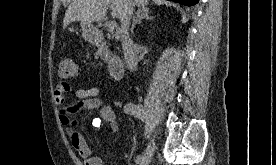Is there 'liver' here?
<instances>
[{
	"label": "liver",
	"mask_w": 276,
	"mask_h": 165,
	"mask_svg": "<svg viewBox=\"0 0 276 165\" xmlns=\"http://www.w3.org/2000/svg\"><path fill=\"white\" fill-rule=\"evenodd\" d=\"M132 2L138 7H145L149 0H132ZM109 6L112 10V17L120 19L124 9V0H73L65 12L63 28L75 21L90 24L101 21L106 16Z\"/></svg>",
	"instance_id": "liver-1"
}]
</instances>
